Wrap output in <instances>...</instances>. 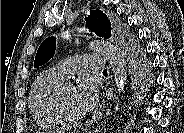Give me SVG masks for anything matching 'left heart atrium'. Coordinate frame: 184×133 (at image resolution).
I'll return each mask as SVG.
<instances>
[{
	"mask_svg": "<svg viewBox=\"0 0 184 133\" xmlns=\"http://www.w3.org/2000/svg\"><path fill=\"white\" fill-rule=\"evenodd\" d=\"M76 97L85 111L94 109L99 100L97 86L89 79H84L76 88Z\"/></svg>",
	"mask_w": 184,
	"mask_h": 133,
	"instance_id": "1",
	"label": "left heart atrium"
}]
</instances>
